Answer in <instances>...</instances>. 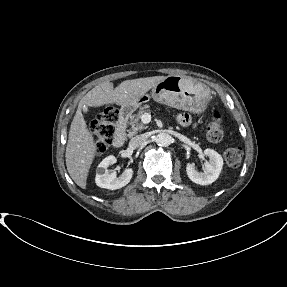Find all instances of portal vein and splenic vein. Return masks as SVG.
I'll return each instance as SVG.
<instances>
[{"label":"portal vein and splenic vein","mask_w":287,"mask_h":287,"mask_svg":"<svg viewBox=\"0 0 287 287\" xmlns=\"http://www.w3.org/2000/svg\"><path fill=\"white\" fill-rule=\"evenodd\" d=\"M141 121L144 124H148L151 121V115L149 113H144L141 117Z\"/></svg>","instance_id":"obj_1"}]
</instances>
